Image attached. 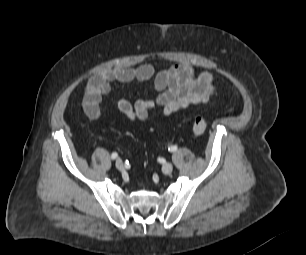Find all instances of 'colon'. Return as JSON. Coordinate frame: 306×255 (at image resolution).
<instances>
[{
    "mask_svg": "<svg viewBox=\"0 0 306 255\" xmlns=\"http://www.w3.org/2000/svg\"><path fill=\"white\" fill-rule=\"evenodd\" d=\"M207 128V122L204 118L197 117L192 125V131L195 135H202Z\"/></svg>",
    "mask_w": 306,
    "mask_h": 255,
    "instance_id": "5ec220e1",
    "label": "colon"
}]
</instances>
